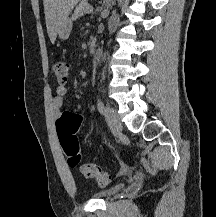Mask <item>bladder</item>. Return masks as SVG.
<instances>
[{"label":"bladder","mask_w":216,"mask_h":217,"mask_svg":"<svg viewBox=\"0 0 216 217\" xmlns=\"http://www.w3.org/2000/svg\"><path fill=\"white\" fill-rule=\"evenodd\" d=\"M125 186V184H115L102 191L94 193V196L98 199L108 200L122 192Z\"/></svg>","instance_id":"31cf9c89"}]
</instances>
